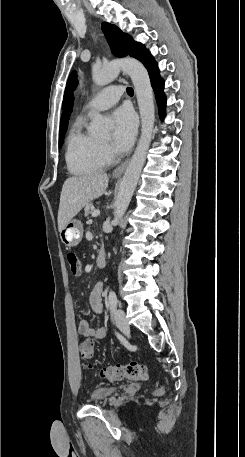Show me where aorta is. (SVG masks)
Returning a JSON list of instances; mask_svg holds the SVG:
<instances>
[{
    "label": "aorta",
    "mask_w": 245,
    "mask_h": 457,
    "mask_svg": "<svg viewBox=\"0 0 245 457\" xmlns=\"http://www.w3.org/2000/svg\"><path fill=\"white\" fill-rule=\"evenodd\" d=\"M120 70L125 71L130 76L135 88L141 116V136L120 183L114 210L116 222L123 217L133 196L152 140L155 121L150 78L146 68L139 61L131 58L114 60L102 68H94L92 72L93 81L98 86L107 85L118 76ZM110 125L111 121L108 118L97 113L92 119L91 131L95 134H103L109 130Z\"/></svg>",
    "instance_id": "obj_1"
}]
</instances>
